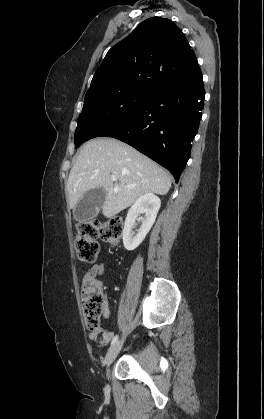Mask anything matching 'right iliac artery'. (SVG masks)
I'll list each match as a JSON object with an SVG mask.
<instances>
[{"mask_svg":"<svg viewBox=\"0 0 264 419\" xmlns=\"http://www.w3.org/2000/svg\"><path fill=\"white\" fill-rule=\"evenodd\" d=\"M118 340V335L114 336L112 341H111V346H113Z\"/></svg>","mask_w":264,"mask_h":419,"instance_id":"obj_1","label":"right iliac artery"}]
</instances>
